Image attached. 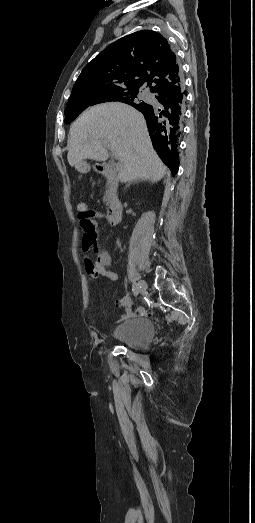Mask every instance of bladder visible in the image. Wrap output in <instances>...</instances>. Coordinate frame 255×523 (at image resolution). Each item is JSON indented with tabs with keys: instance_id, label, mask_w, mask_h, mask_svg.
Instances as JSON below:
<instances>
[{
	"instance_id": "obj_1",
	"label": "bladder",
	"mask_w": 255,
	"mask_h": 523,
	"mask_svg": "<svg viewBox=\"0 0 255 523\" xmlns=\"http://www.w3.org/2000/svg\"><path fill=\"white\" fill-rule=\"evenodd\" d=\"M153 324L145 318L129 319L116 329L113 340L132 349L147 346L153 338Z\"/></svg>"
}]
</instances>
